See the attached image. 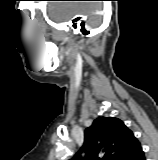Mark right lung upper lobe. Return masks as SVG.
I'll list each match as a JSON object with an SVG mask.
<instances>
[{
    "mask_svg": "<svg viewBox=\"0 0 158 160\" xmlns=\"http://www.w3.org/2000/svg\"><path fill=\"white\" fill-rule=\"evenodd\" d=\"M140 142L123 121L114 117H100L85 130L84 144L71 160H128L139 148Z\"/></svg>",
    "mask_w": 158,
    "mask_h": 160,
    "instance_id": "cb5924a9",
    "label": "right lung upper lobe"
}]
</instances>
